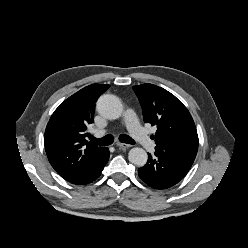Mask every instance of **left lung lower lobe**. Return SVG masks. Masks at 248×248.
I'll use <instances>...</instances> for the list:
<instances>
[{
    "instance_id": "left-lung-lower-lobe-1",
    "label": "left lung lower lobe",
    "mask_w": 248,
    "mask_h": 248,
    "mask_svg": "<svg viewBox=\"0 0 248 248\" xmlns=\"http://www.w3.org/2000/svg\"><path fill=\"white\" fill-rule=\"evenodd\" d=\"M191 166V164L157 153L155 157L148 154V161L145 166L138 169V175L150 187L162 190L181 181Z\"/></svg>"
}]
</instances>
